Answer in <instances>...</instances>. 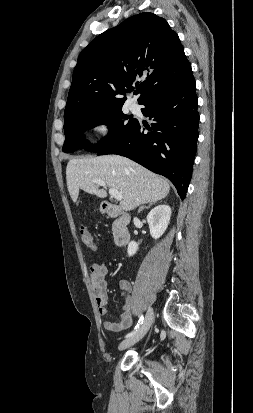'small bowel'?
<instances>
[{
    "instance_id": "small-bowel-1",
    "label": "small bowel",
    "mask_w": 253,
    "mask_h": 413,
    "mask_svg": "<svg viewBox=\"0 0 253 413\" xmlns=\"http://www.w3.org/2000/svg\"><path fill=\"white\" fill-rule=\"evenodd\" d=\"M109 275V269L104 260H98L92 263L90 267V282L95 295V302L97 305L98 313L100 316L108 315L107 309V278ZM120 288L124 293L125 302L123 305V312L120 316V319L116 322L109 320L103 321V326L106 330L112 332H122L131 327L133 318H132V308L130 303L129 294L131 292V284L127 280H121Z\"/></svg>"
}]
</instances>
